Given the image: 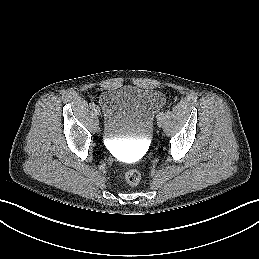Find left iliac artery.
I'll use <instances>...</instances> for the list:
<instances>
[{
    "instance_id": "obj_1",
    "label": "left iliac artery",
    "mask_w": 259,
    "mask_h": 259,
    "mask_svg": "<svg viewBox=\"0 0 259 259\" xmlns=\"http://www.w3.org/2000/svg\"><path fill=\"white\" fill-rule=\"evenodd\" d=\"M164 116V112H160L158 115H157V119H162V117Z\"/></svg>"
}]
</instances>
